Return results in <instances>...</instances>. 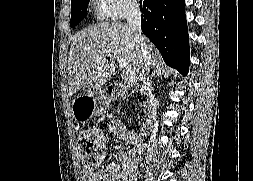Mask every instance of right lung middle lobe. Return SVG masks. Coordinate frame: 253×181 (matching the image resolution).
Masks as SVG:
<instances>
[{"label": "right lung middle lobe", "instance_id": "dd1d6c3e", "mask_svg": "<svg viewBox=\"0 0 253 181\" xmlns=\"http://www.w3.org/2000/svg\"><path fill=\"white\" fill-rule=\"evenodd\" d=\"M89 0H71L70 27H75L87 15Z\"/></svg>", "mask_w": 253, "mask_h": 181}]
</instances>
